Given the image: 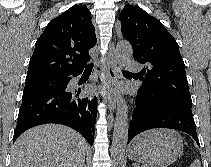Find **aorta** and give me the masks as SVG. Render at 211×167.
I'll list each match as a JSON object with an SVG mask.
<instances>
[{"label": "aorta", "mask_w": 211, "mask_h": 167, "mask_svg": "<svg viewBox=\"0 0 211 167\" xmlns=\"http://www.w3.org/2000/svg\"><path fill=\"white\" fill-rule=\"evenodd\" d=\"M132 56V47L127 41H119L116 45V61L120 67ZM128 106L122 96L117 101V111L112 139L111 158L113 167H121L124 161L128 139Z\"/></svg>", "instance_id": "762f6f07"}]
</instances>
